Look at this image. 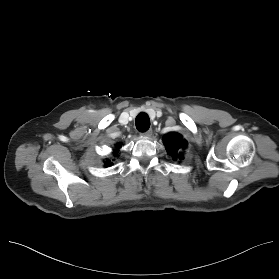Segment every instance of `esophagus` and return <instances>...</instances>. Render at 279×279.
Wrapping results in <instances>:
<instances>
[{"label": "esophagus", "instance_id": "1", "mask_svg": "<svg viewBox=\"0 0 279 279\" xmlns=\"http://www.w3.org/2000/svg\"><path fill=\"white\" fill-rule=\"evenodd\" d=\"M152 133H153L152 129H149L148 131L141 133V136L145 138H149L151 137Z\"/></svg>", "mask_w": 279, "mask_h": 279}]
</instances>
